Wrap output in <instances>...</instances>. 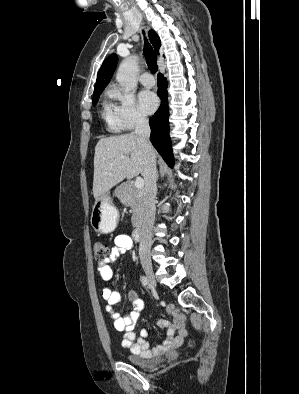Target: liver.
Returning <instances> with one entry per match:
<instances>
[{
  "instance_id": "obj_1",
  "label": "liver",
  "mask_w": 299,
  "mask_h": 394,
  "mask_svg": "<svg viewBox=\"0 0 299 394\" xmlns=\"http://www.w3.org/2000/svg\"><path fill=\"white\" fill-rule=\"evenodd\" d=\"M153 153L156 158L154 149ZM144 166L143 148L134 133L101 138L96 144L94 155V198H101L126 177L143 175Z\"/></svg>"
}]
</instances>
